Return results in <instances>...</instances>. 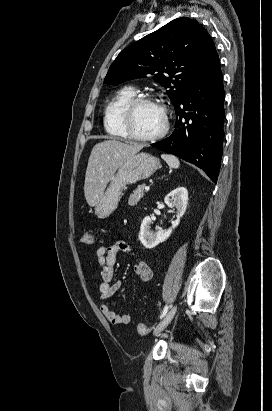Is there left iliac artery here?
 Returning a JSON list of instances; mask_svg holds the SVG:
<instances>
[{"mask_svg":"<svg viewBox=\"0 0 272 411\" xmlns=\"http://www.w3.org/2000/svg\"><path fill=\"white\" fill-rule=\"evenodd\" d=\"M167 312H168V306L166 305V306L163 308V311H162V313H161L160 318H163V317L167 314Z\"/></svg>","mask_w":272,"mask_h":411,"instance_id":"obj_1","label":"left iliac artery"}]
</instances>
